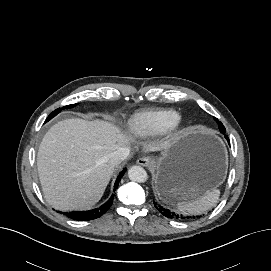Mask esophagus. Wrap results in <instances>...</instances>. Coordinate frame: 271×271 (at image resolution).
Masks as SVG:
<instances>
[{"mask_svg": "<svg viewBox=\"0 0 271 271\" xmlns=\"http://www.w3.org/2000/svg\"><path fill=\"white\" fill-rule=\"evenodd\" d=\"M137 164L143 166V167H151L152 164H153V161L150 157L148 156H144V157H141L137 160Z\"/></svg>", "mask_w": 271, "mask_h": 271, "instance_id": "1", "label": "esophagus"}]
</instances>
